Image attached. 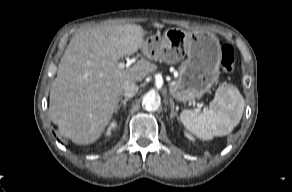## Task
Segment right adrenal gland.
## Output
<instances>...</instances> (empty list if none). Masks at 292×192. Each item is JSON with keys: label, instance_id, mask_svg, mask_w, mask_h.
Masks as SVG:
<instances>
[{"label": "right adrenal gland", "instance_id": "2a0ac1e0", "mask_svg": "<svg viewBox=\"0 0 292 192\" xmlns=\"http://www.w3.org/2000/svg\"><path fill=\"white\" fill-rule=\"evenodd\" d=\"M128 100H129V98H125V99L120 100V103L117 105V107L115 109V114L118 113V111L121 107H123L124 110L126 109V103Z\"/></svg>", "mask_w": 292, "mask_h": 192}]
</instances>
